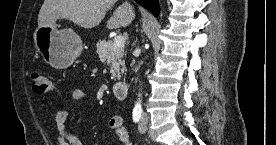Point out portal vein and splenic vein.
<instances>
[{"label":"portal vein and splenic vein","mask_w":276,"mask_h":145,"mask_svg":"<svg viewBox=\"0 0 276 145\" xmlns=\"http://www.w3.org/2000/svg\"><path fill=\"white\" fill-rule=\"evenodd\" d=\"M125 39L122 36H116L113 41V46L115 48L124 47Z\"/></svg>","instance_id":"portal-vein-and-splenic-vein-1"}]
</instances>
